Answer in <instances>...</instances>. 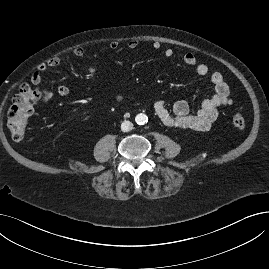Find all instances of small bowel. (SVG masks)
<instances>
[{
	"label": "small bowel",
	"mask_w": 269,
	"mask_h": 269,
	"mask_svg": "<svg viewBox=\"0 0 269 269\" xmlns=\"http://www.w3.org/2000/svg\"><path fill=\"white\" fill-rule=\"evenodd\" d=\"M139 46V42L135 39L127 43L130 50H135ZM119 47L117 41H112L109 44L111 50H116ZM154 50H160L162 44L158 41L152 43ZM165 58H171L174 50L171 47H166L162 51ZM71 54L75 57H82L84 49L81 47L75 48ZM182 62L190 67H194L196 74L199 76H208L214 89V95L203 101L200 110L197 113L190 112V106L185 100L176 101L169 109L164 101L158 100L154 103L153 108L158 118L167 126L181 131H207L211 128L214 122L218 119L219 109L222 106H230L233 99L230 95V87L224 80L223 75L218 72H210V69L205 64H199L194 54L187 52L182 55ZM61 58L53 57L42 63L31 75V82L34 85H40L43 80V73L49 69L57 67L61 64ZM90 74L96 72L95 66L88 68ZM57 93L60 96H67L70 90L65 85H60L57 88ZM55 93L50 88H42L41 96L44 102L50 101ZM116 101H121L122 97L119 94L114 95Z\"/></svg>",
	"instance_id": "c3829d8e"
}]
</instances>
